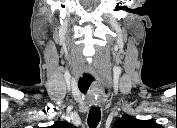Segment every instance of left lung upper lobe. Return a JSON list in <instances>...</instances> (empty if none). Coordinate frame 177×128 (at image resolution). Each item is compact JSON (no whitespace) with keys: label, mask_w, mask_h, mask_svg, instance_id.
<instances>
[{"label":"left lung upper lobe","mask_w":177,"mask_h":128,"mask_svg":"<svg viewBox=\"0 0 177 128\" xmlns=\"http://www.w3.org/2000/svg\"><path fill=\"white\" fill-rule=\"evenodd\" d=\"M156 125L152 120H138L132 116H124L116 120L113 128H148Z\"/></svg>","instance_id":"1"}]
</instances>
